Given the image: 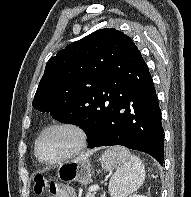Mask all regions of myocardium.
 <instances>
[{"mask_svg":"<svg viewBox=\"0 0 191 197\" xmlns=\"http://www.w3.org/2000/svg\"><path fill=\"white\" fill-rule=\"evenodd\" d=\"M59 128L68 129L74 132L77 137V144L75 148L69 153H67L66 155L55 160L46 161L40 156V153H39L40 140L50 130L59 129ZM87 145H88V133L83 125H81L78 122L71 121V120H59V121H55V122L48 124L40 131L37 138L35 139L34 153H35L37 160L40 163L47 165V166H53V165L63 163L67 160H70L78 156L80 153H82L85 150Z\"/></svg>","mask_w":191,"mask_h":197,"instance_id":"myocardium-1","label":"myocardium"}]
</instances>
